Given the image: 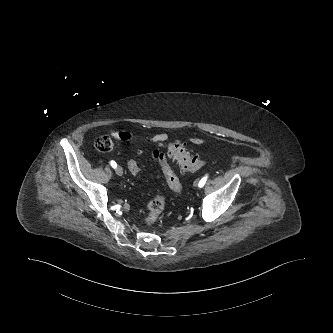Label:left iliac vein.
Wrapping results in <instances>:
<instances>
[{
  "label": "left iliac vein",
  "instance_id": "obj_1",
  "mask_svg": "<svg viewBox=\"0 0 333 333\" xmlns=\"http://www.w3.org/2000/svg\"><path fill=\"white\" fill-rule=\"evenodd\" d=\"M198 183H199V181H198V179H196V180L194 181V186H197Z\"/></svg>",
  "mask_w": 333,
  "mask_h": 333
}]
</instances>
